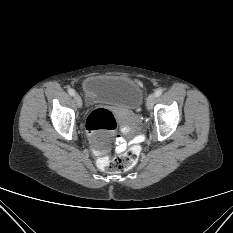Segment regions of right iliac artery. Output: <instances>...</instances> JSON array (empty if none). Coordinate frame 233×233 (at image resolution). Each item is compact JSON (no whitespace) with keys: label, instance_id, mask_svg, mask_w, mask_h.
I'll return each instance as SVG.
<instances>
[{"label":"right iliac artery","instance_id":"obj_1","mask_svg":"<svg viewBox=\"0 0 233 233\" xmlns=\"http://www.w3.org/2000/svg\"><path fill=\"white\" fill-rule=\"evenodd\" d=\"M68 93L71 95V96H74L75 95V91L71 88L68 89Z\"/></svg>","mask_w":233,"mask_h":233}]
</instances>
